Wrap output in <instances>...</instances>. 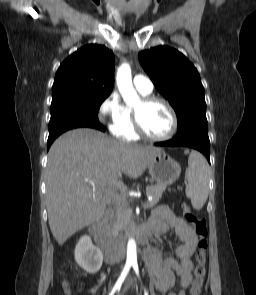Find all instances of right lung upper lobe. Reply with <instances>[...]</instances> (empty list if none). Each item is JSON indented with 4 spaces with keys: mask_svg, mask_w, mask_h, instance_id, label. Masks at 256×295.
Here are the masks:
<instances>
[{
    "mask_svg": "<svg viewBox=\"0 0 256 295\" xmlns=\"http://www.w3.org/2000/svg\"><path fill=\"white\" fill-rule=\"evenodd\" d=\"M114 85V55L105 46L86 45L65 59L52 87V102L108 97Z\"/></svg>",
    "mask_w": 256,
    "mask_h": 295,
    "instance_id": "cb5924a9",
    "label": "right lung upper lobe"
}]
</instances>
